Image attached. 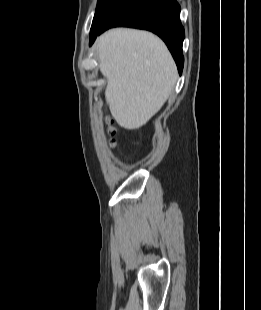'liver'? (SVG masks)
<instances>
[{
	"instance_id": "1",
	"label": "liver",
	"mask_w": 261,
	"mask_h": 310,
	"mask_svg": "<svg viewBox=\"0 0 261 310\" xmlns=\"http://www.w3.org/2000/svg\"><path fill=\"white\" fill-rule=\"evenodd\" d=\"M97 48L112 116L126 129L142 127L164 105L177 80L166 45L150 32L116 28L98 38Z\"/></svg>"
}]
</instances>
